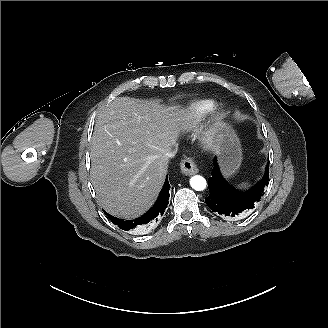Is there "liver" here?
<instances>
[{
    "label": "liver",
    "instance_id": "1",
    "mask_svg": "<svg viewBox=\"0 0 328 328\" xmlns=\"http://www.w3.org/2000/svg\"><path fill=\"white\" fill-rule=\"evenodd\" d=\"M190 110L158 100L117 97L97 114L91 141V181L109 214L134 219L155 203L171 151L189 128Z\"/></svg>",
    "mask_w": 328,
    "mask_h": 328
}]
</instances>
